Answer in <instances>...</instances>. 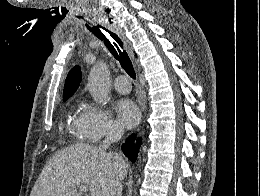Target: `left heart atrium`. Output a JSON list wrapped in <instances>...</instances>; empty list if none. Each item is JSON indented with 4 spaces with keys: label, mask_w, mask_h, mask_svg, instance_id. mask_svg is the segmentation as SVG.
Segmentation results:
<instances>
[{
    "label": "left heart atrium",
    "mask_w": 260,
    "mask_h": 196,
    "mask_svg": "<svg viewBox=\"0 0 260 196\" xmlns=\"http://www.w3.org/2000/svg\"><path fill=\"white\" fill-rule=\"evenodd\" d=\"M116 112L120 123L125 127H133L136 125L140 118V113L135 103L123 98L116 104ZM116 192L118 190H112Z\"/></svg>",
    "instance_id": "left-heart-atrium-1"
}]
</instances>
